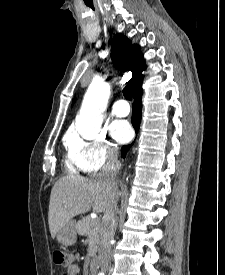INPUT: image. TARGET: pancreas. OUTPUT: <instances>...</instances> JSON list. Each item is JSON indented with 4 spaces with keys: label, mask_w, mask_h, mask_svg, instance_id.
<instances>
[{
    "label": "pancreas",
    "mask_w": 225,
    "mask_h": 275,
    "mask_svg": "<svg viewBox=\"0 0 225 275\" xmlns=\"http://www.w3.org/2000/svg\"><path fill=\"white\" fill-rule=\"evenodd\" d=\"M79 235H85L89 240V255L93 256L99 241L100 223L98 220L91 219L89 216L82 218L75 225Z\"/></svg>",
    "instance_id": "cf45deb5"
}]
</instances>
